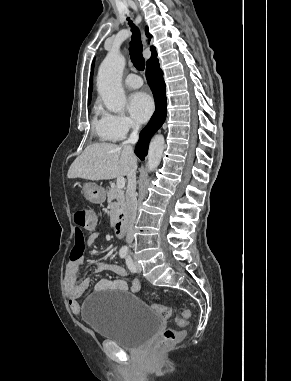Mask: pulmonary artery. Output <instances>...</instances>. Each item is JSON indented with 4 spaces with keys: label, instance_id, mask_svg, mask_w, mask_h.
Segmentation results:
<instances>
[{
    "label": "pulmonary artery",
    "instance_id": "pulmonary-artery-1",
    "mask_svg": "<svg viewBox=\"0 0 291 381\" xmlns=\"http://www.w3.org/2000/svg\"><path fill=\"white\" fill-rule=\"evenodd\" d=\"M143 84V81L140 76L137 74H129L125 78V85L130 89H137L141 87Z\"/></svg>",
    "mask_w": 291,
    "mask_h": 381
}]
</instances>
